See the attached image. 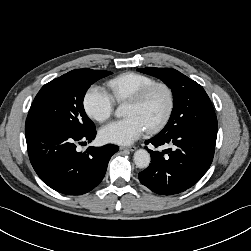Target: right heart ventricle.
I'll list each match as a JSON object with an SVG mask.
<instances>
[{
	"mask_svg": "<svg viewBox=\"0 0 251 251\" xmlns=\"http://www.w3.org/2000/svg\"><path fill=\"white\" fill-rule=\"evenodd\" d=\"M155 80L145 74L137 72L122 73L108 81L111 96L118 102L129 100L144 87L154 83Z\"/></svg>",
	"mask_w": 251,
	"mask_h": 251,
	"instance_id": "right-heart-ventricle-1",
	"label": "right heart ventricle"
}]
</instances>
